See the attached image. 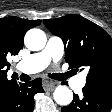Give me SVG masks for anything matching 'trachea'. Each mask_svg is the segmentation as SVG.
Instances as JSON below:
<instances>
[{"instance_id":"trachea-1","label":"trachea","mask_w":112,"mask_h":112,"mask_svg":"<svg viewBox=\"0 0 112 112\" xmlns=\"http://www.w3.org/2000/svg\"><path fill=\"white\" fill-rule=\"evenodd\" d=\"M70 75H71L70 73H66V74H49V77H51L53 79H56V80H59V81H62V80H65L66 78H68ZM20 79H21V81H28L31 78L26 74H22V75H20Z\"/></svg>"}]
</instances>
